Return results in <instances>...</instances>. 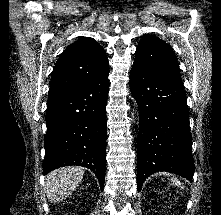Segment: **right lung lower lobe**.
<instances>
[{
    "instance_id": "obj_1",
    "label": "right lung lower lobe",
    "mask_w": 221,
    "mask_h": 215,
    "mask_svg": "<svg viewBox=\"0 0 221 215\" xmlns=\"http://www.w3.org/2000/svg\"><path fill=\"white\" fill-rule=\"evenodd\" d=\"M108 74L48 99L44 174L67 165L84 166L96 174L103 190Z\"/></svg>"
}]
</instances>
